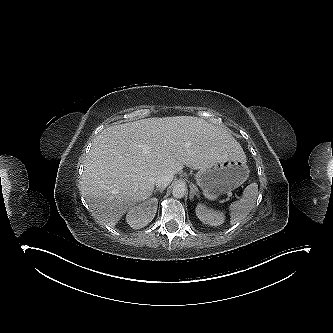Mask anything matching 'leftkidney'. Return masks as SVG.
I'll use <instances>...</instances> for the list:
<instances>
[{
    "instance_id": "obj_1",
    "label": "left kidney",
    "mask_w": 333,
    "mask_h": 333,
    "mask_svg": "<svg viewBox=\"0 0 333 333\" xmlns=\"http://www.w3.org/2000/svg\"><path fill=\"white\" fill-rule=\"evenodd\" d=\"M196 215L204 224L219 226L224 223L225 215L223 212L209 209L204 204L199 203L196 206Z\"/></svg>"
}]
</instances>
